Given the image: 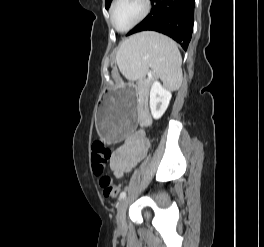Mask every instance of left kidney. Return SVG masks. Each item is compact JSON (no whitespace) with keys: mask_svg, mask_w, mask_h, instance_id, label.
I'll list each match as a JSON object with an SVG mask.
<instances>
[{"mask_svg":"<svg viewBox=\"0 0 264 247\" xmlns=\"http://www.w3.org/2000/svg\"><path fill=\"white\" fill-rule=\"evenodd\" d=\"M172 94L161 85L160 82L154 81L150 89V110L154 119L163 116L170 103Z\"/></svg>","mask_w":264,"mask_h":247,"instance_id":"obj_1","label":"left kidney"}]
</instances>
